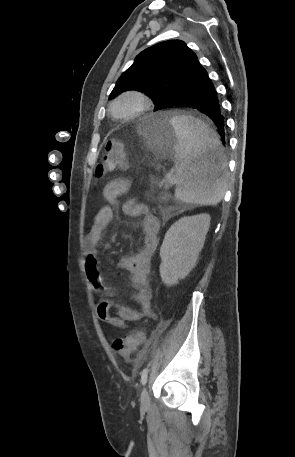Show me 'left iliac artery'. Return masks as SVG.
I'll return each instance as SVG.
<instances>
[{"mask_svg":"<svg viewBox=\"0 0 295 457\" xmlns=\"http://www.w3.org/2000/svg\"><path fill=\"white\" fill-rule=\"evenodd\" d=\"M148 367L144 368L143 371H142V374H141V383L144 385L146 384L147 382V378H148Z\"/></svg>","mask_w":295,"mask_h":457,"instance_id":"left-iliac-artery-1","label":"left iliac artery"}]
</instances>
